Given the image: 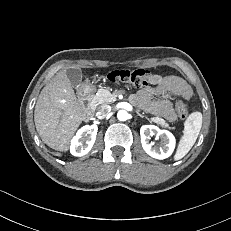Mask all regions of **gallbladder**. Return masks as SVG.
I'll return each instance as SVG.
<instances>
[{"instance_id": "bac80fb5", "label": "gallbladder", "mask_w": 231, "mask_h": 231, "mask_svg": "<svg viewBox=\"0 0 231 231\" xmlns=\"http://www.w3.org/2000/svg\"><path fill=\"white\" fill-rule=\"evenodd\" d=\"M66 75L73 87H78L82 81V71L80 68H69Z\"/></svg>"}]
</instances>
